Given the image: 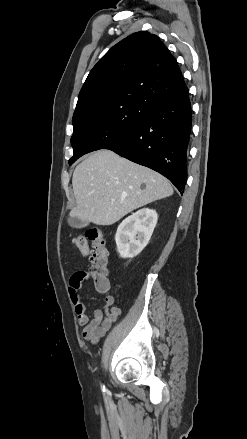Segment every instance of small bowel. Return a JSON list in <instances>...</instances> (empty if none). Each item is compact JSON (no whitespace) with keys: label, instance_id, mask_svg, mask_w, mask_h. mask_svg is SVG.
Listing matches in <instances>:
<instances>
[{"label":"small bowel","instance_id":"1","mask_svg":"<svg viewBox=\"0 0 247 439\" xmlns=\"http://www.w3.org/2000/svg\"><path fill=\"white\" fill-rule=\"evenodd\" d=\"M88 278L89 275L85 271L74 272L70 277L68 290L77 322L84 327L82 333L84 339L96 343L112 327L120 316L121 310L115 305V297L108 295L104 299L102 309H95L90 319L79 295L83 281Z\"/></svg>","mask_w":247,"mask_h":439}]
</instances>
